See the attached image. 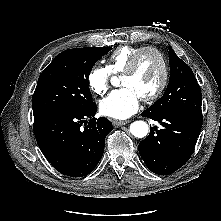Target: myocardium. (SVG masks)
<instances>
[{
    "label": "myocardium",
    "instance_id": "f54148a6",
    "mask_svg": "<svg viewBox=\"0 0 221 221\" xmlns=\"http://www.w3.org/2000/svg\"><path fill=\"white\" fill-rule=\"evenodd\" d=\"M144 53L156 54L159 57L161 65H162V78H161L159 85L152 93L141 98L143 101L149 102V101L155 100L163 93L164 89L167 86L168 78H169V68H168L166 57L159 49L152 47V46H147V47L139 49L133 55L127 68L122 73V76L133 75L136 72L139 61Z\"/></svg>",
    "mask_w": 221,
    "mask_h": 221
}]
</instances>
